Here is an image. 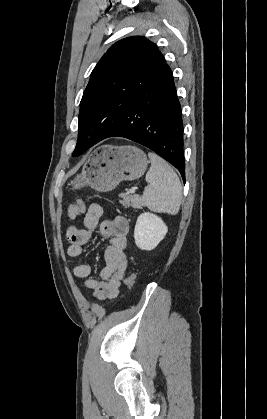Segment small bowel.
<instances>
[{
    "mask_svg": "<svg viewBox=\"0 0 267 419\" xmlns=\"http://www.w3.org/2000/svg\"><path fill=\"white\" fill-rule=\"evenodd\" d=\"M102 215L101 205L92 203L85 213V228L79 229L71 225L66 230L69 242L67 254L70 258H77L83 254L84 247L90 242L96 229L101 236L110 238V244L104 254L106 264L101 270V280L91 277L92 267L89 264L82 263L73 268L74 276L85 279L86 288L92 290L94 296L100 300L113 299L119 293V287L128 269L125 250L129 232L126 218L119 216L112 220H101Z\"/></svg>",
    "mask_w": 267,
    "mask_h": 419,
    "instance_id": "obj_1",
    "label": "small bowel"
}]
</instances>
